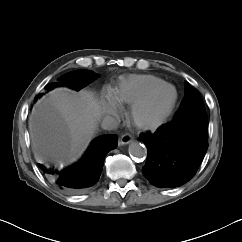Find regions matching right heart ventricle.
<instances>
[{
  "label": "right heart ventricle",
  "instance_id": "right-heart-ventricle-1",
  "mask_svg": "<svg viewBox=\"0 0 242 242\" xmlns=\"http://www.w3.org/2000/svg\"><path fill=\"white\" fill-rule=\"evenodd\" d=\"M165 83L155 75H130L119 80L112 89V95L120 104L132 105L148 91Z\"/></svg>",
  "mask_w": 242,
  "mask_h": 242
}]
</instances>
